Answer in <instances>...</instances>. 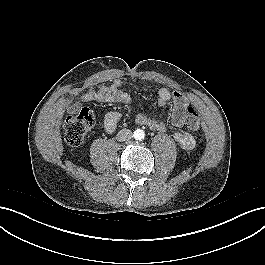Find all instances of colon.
Returning <instances> with one entry per match:
<instances>
[{
    "mask_svg": "<svg viewBox=\"0 0 265 265\" xmlns=\"http://www.w3.org/2000/svg\"><path fill=\"white\" fill-rule=\"evenodd\" d=\"M95 117L91 110L81 109L78 113L69 115L64 120L65 139L68 144L78 146L84 136L94 126ZM201 119L199 113L192 107L187 108L186 127L193 131H199Z\"/></svg>",
    "mask_w": 265,
    "mask_h": 265,
    "instance_id": "5ec220e1",
    "label": "colon"
}]
</instances>
